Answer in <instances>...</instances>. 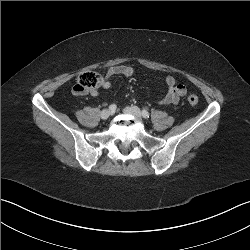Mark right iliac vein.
<instances>
[{"label":"right iliac vein","mask_w":250,"mask_h":250,"mask_svg":"<svg viewBox=\"0 0 250 250\" xmlns=\"http://www.w3.org/2000/svg\"><path fill=\"white\" fill-rule=\"evenodd\" d=\"M100 115H101V118H102V119L106 120V119H108V118L110 117L111 111L108 110V109H105V110H103V111L101 112Z\"/></svg>","instance_id":"1"}]
</instances>
